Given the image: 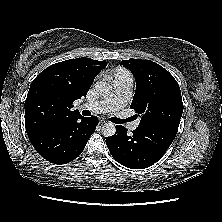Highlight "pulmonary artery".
Wrapping results in <instances>:
<instances>
[{
	"label": "pulmonary artery",
	"instance_id": "1",
	"mask_svg": "<svg viewBox=\"0 0 222 222\" xmlns=\"http://www.w3.org/2000/svg\"><path fill=\"white\" fill-rule=\"evenodd\" d=\"M132 83L133 80L129 73H119L114 79V89L107 98L83 104L82 108L96 113L121 109L128 100ZM137 126L138 122H133L130 124L129 128L133 131Z\"/></svg>",
	"mask_w": 222,
	"mask_h": 222
}]
</instances>
